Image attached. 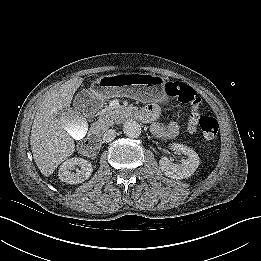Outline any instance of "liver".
<instances>
[{
  "instance_id": "liver-1",
  "label": "liver",
  "mask_w": 261,
  "mask_h": 261,
  "mask_svg": "<svg viewBox=\"0 0 261 261\" xmlns=\"http://www.w3.org/2000/svg\"><path fill=\"white\" fill-rule=\"evenodd\" d=\"M83 78H73L48 92L40 101L33 121L30 145L34 161L44 176L51 175L75 150V143L65 123L80 120L76 111L70 110L74 93Z\"/></svg>"
}]
</instances>
